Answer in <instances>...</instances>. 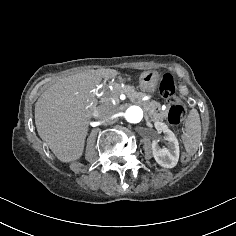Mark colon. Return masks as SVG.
I'll return each instance as SVG.
<instances>
[{"label": "colon", "instance_id": "colon-1", "mask_svg": "<svg viewBox=\"0 0 236 236\" xmlns=\"http://www.w3.org/2000/svg\"><path fill=\"white\" fill-rule=\"evenodd\" d=\"M161 95L172 103L167 122L170 126L180 123L186 114L185 105L178 99L175 91V80L171 74H165L160 82Z\"/></svg>", "mask_w": 236, "mask_h": 236}]
</instances>
